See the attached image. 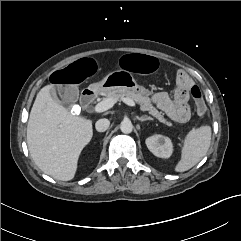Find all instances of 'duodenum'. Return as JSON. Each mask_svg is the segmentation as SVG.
<instances>
[{
  "label": "duodenum",
  "instance_id": "1",
  "mask_svg": "<svg viewBox=\"0 0 241 241\" xmlns=\"http://www.w3.org/2000/svg\"><path fill=\"white\" fill-rule=\"evenodd\" d=\"M97 93L98 89L96 88L85 89L81 95V105L85 108L89 107L95 100Z\"/></svg>",
  "mask_w": 241,
  "mask_h": 241
}]
</instances>
